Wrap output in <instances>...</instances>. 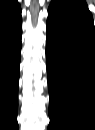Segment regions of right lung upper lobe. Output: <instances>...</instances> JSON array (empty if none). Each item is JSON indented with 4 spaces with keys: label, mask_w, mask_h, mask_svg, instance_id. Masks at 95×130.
<instances>
[{
    "label": "right lung upper lobe",
    "mask_w": 95,
    "mask_h": 130,
    "mask_svg": "<svg viewBox=\"0 0 95 130\" xmlns=\"http://www.w3.org/2000/svg\"><path fill=\"white\" fill-rule=\"evenodd\" d=\"M21 24V10L17 1H3L0 6V33L10 31Z\"/></svg>",
    "instance_id": "right-lung-upper-lobe-1"
}]
</instances>
